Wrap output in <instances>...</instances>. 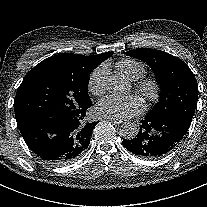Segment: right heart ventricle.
Here are the masks:
<instances>
[{
    "label": "right heart ventricle",
    "instance_id": "obj_1",
    "mask_svg": "<svg viewBox=\"0 0 207 207\" xmlns=\"http://www.w3.org/2000/svg\"><path fill=\"white\" fill-rule=\"evenodd\" d=\"M117 67L130 79L137 80L145 73L144 66L133 59H122L117 62Z\"/></svg>",
    "mask_w": 207,
    "mask_h": 207
}]
</instances>
